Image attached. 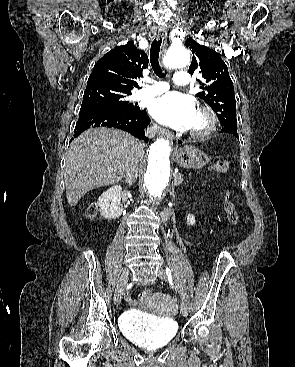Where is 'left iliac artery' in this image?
Returning <instances> with one entry per match:
<instances>
[{
    "mask_svg": "<svg viewBox=\"0 0 295 367\" xmlns=\"http://www.w3.org/2000/svg\"><path fill=\"white\" fill-rule=\"evenodd\" d=\"M165 271H166V274H167L168 276H171V271H170V269H169L168 267H166Z\"/></svg>",
    "mask_w": 295,
    "mask_h": 367,
    "instance_id": "1",
    "label": "left iliac artery"
}]
</instances>
